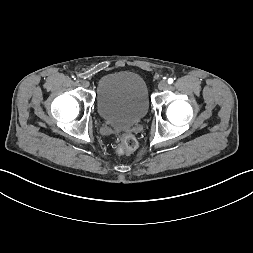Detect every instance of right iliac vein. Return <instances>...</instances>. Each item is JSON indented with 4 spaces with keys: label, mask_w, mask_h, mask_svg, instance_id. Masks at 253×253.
<instances>
[{
    "label": "right iliac vein",
    "mask_w": 253,
    "mask_h": 253,
    "mask_svg": "<svg viewBox=\"0 0 253 253\" xmlns=\"http://www.w3.org/2000/svg\"><path fill=\"white\" fill-rule=\"evenodd\" d=\"M81 84H82V86L85 87V88L89 87V85H90L89 81H87V80H82V81H81Z\"/></svg>",
    "instance_id": "63e3f726"
}]
</instances>
